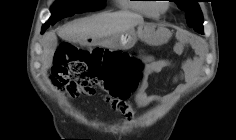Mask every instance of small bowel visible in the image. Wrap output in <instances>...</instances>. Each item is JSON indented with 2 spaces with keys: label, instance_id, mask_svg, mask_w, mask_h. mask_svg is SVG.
<instances>
[{
  "label": "small bowel",
  "instance_id": "small-bowel-1",
  "mask_svg": "<svg viewBox=\"0 0 236 140\" xmlns=\"http://www.w3.org/2000/svg\"><path fill=\"white\" fill-rule=\"evenodd\" d=\"M175 51L181 54L184 51L183 42L178 43L175 46ZM145 61L144 72L147 74H159L165 68L174 66V63L169 59H158L151 55H143ZM198 61L193 59L185 60L180 67L179 73L173 78L172 83L177 84L176 89L163 96L148 95L144 91H141L137 96V106L139 108L147 107L154 103L167 104L171 102L175 96L181 93L187 83L195 81L198 77ZM112 108L124 115L125 121H131L136 115V109L128 102L121 101L115 104L111 103Z\"/></svg>",
  "mask_w": 236,
  "mask_h": 140
}]
</instances>
